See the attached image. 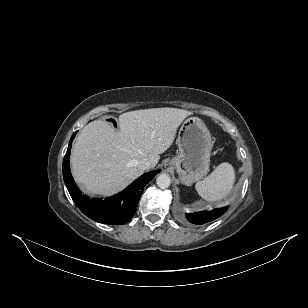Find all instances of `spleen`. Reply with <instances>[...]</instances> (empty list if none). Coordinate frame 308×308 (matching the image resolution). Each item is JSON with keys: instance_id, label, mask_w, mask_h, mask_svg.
<instances>
[{"instance_id": "3e777b00", "label": "spleen", "mask_w": 308, "mask_h": 308, "mask_svg": "<svg viewBox=\"0 0 308 308\" xmlns=\"http://www.w3.org/2000/svg\"><path fill=\"white\" fill-rule=\"evenodd\" d=\"M235 179L232 165L221 163L204 180L197 182L195 188L204 200L215 202L228 196L233 189Z\"/></svg>"}]
</instances>
